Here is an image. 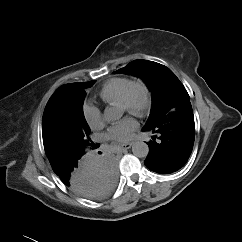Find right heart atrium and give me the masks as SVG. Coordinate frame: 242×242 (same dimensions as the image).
<instances>
[{
	"label": "right heart atrium",
	"mask_w": 242,
	"mask_h": 242,
	"mask_svg": "<svg viewBox=\"0 0 242 242\" xmlns=\"http://www.w3.org/2000/svg\"><path fill=\"white\" fill-rule=\"evenodd\" d=\"M82 115L85 122L92 129H97L102 126L103 118L101 110L92 103L85 102L82 106Z\"/></svg>",
	"instance_id": "1"
}]
</instances>
